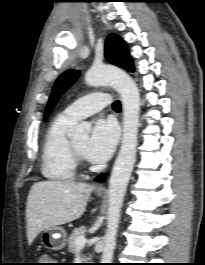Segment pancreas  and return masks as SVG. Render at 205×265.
Masks as SVG:
<instances>
[{"label": "pancreas", "mask_w": 205, "mask_h": 265, "mask_svg": "<svg viewBox=\"0 0 205 265\" xmlns=\"http://www.w3.org/2000/svg\"><path fill=\"white\" fill-rule=\"evenodd\" d=\"M86 233V227L82 226L80 228H76L73 230V232L70 234L69 239H68V250L69 252L75 254L76 253V243L75 240L79 236H84ZM81 259L84 261L90 260V257H87L85 255H81Z\"/></svg>", "instance_id": "pancreas-1"}]
</instances>
